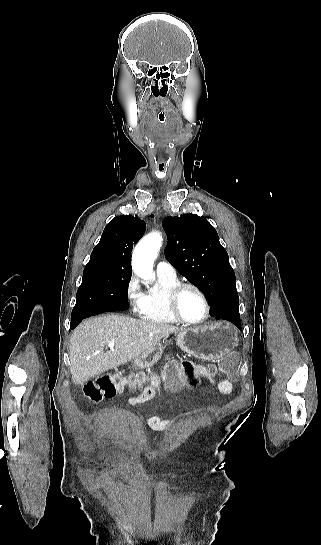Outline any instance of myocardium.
Segmentation results:
<instances>
[{"mask_svg":"<svg viewBox=\"0 0 321 545\" xmlns=\"http://www.w3.org/2000/svg\"><path fill=\"white\" fill-rule=\"evenodd\" d=\"M186 289H192V290L196 291L199 294V296L201 297V299H202V302H203V305H204V308H205V313H204V316L199 321H196V322L186 321L179 314V311H178V308H177L178 298H179L180 294ZM164 299H165V306H166V309H167L169 315L179 325H182V326H185V327H191V328L200 327L204 323H206V321L208 320V318L210 316L211 308H210V303H209L208 297L205 294V292L199 286H197L196 284H193V283H178V284L174 285L173 287H171L170 289L165 291Z\"/></svg>","mask_w":321,"mask_h":545,"instance_id":"1","label":"myocardium"}]
</instances>
